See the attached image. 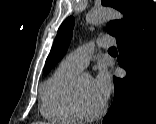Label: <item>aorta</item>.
Here are the masks:
<instances>
[{
    "label": "aorta",
    "instance_id": "1",
    "mask_svg": "<svg viewBox=\"0 0 156 124\" xmlns=\"http://www.w3.org/2000/svg\"><path fill=\"white\" fill-rule=\"evenodd\" d=\"M123 15L112 8L93 9L86 15V21L90 24H99L111 20H120Z\"/></svg>",
    "mask_w": 156,
    "mask_h": 124
}]
</instances>
